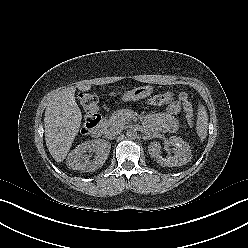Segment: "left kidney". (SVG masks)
Masks as SVG:
<instances>
[{
    "instance_id": "1",
    "label": "left kidney",
    "mask_w": 248,
    "mask_h": 248,
    "mask_svg": "<svg viewBox=\"0 0 248 248\" xmlns=\"http://www.w3.org/2000/svg\"><path fill=\"white\" fill-rule=\"evenodd\" d=\"M169 144L174 146V156L163 158L161 156V146L158 142H151L148 146L149 154L154 157L158 164L166 167H179L187 164L191 158L192 153L189 145L180 137L171 136Z\"/></svg>"
}]
</instances>
